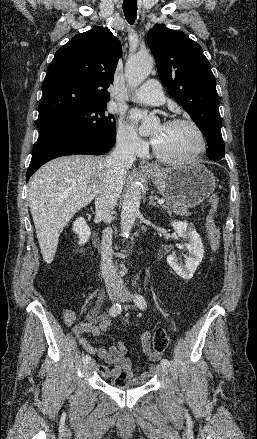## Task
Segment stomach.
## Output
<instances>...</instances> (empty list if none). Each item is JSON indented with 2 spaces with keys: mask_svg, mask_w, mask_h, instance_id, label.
Here are the masks:
<instances>
[{
  "mask_svg": "<svg viewBox=\"0 0 257 439\" xmlns=\"http://www.w3.org/2000/svg\"><path fill=\"white\" fill-rule=\"evenodd\" d=\"M147 176L161 195L185 208L199 205L215 190L213 173L199 163L157 169Z\"/></svg>",
  "mask_w": 257,
  "mask_h": 439,
  "instance_id": "obj_1",
  "label": "stomach"
}]
</instances>
